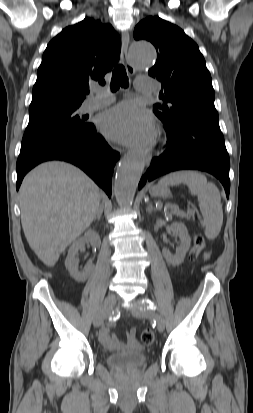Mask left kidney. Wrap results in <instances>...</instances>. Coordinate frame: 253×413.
Listing matches in <instances>:
<instances>
[{
	"mask_svg": "<svg viewBox=\"0 0 253 413\" xmlns=\"http://www.w3.org/2000/svg\"><path fill=\"white\" fill-rule=\"evenodd\" d=\"M165 224V221L159 219L155 224V229L157 230ZM170 229L172 230L174 235L180 238V246L177 248L176 254L174 255L171 254L170 251L167 249H163L162 253L168 263H170L173 266H177L183 262L186 253L190 247L191 239L188 235V230L186 226L182 223H172Z\"/></svg>",
	"mask_w": 253,
	"mask_h": 413,
	"instance_id": "1",
	"label": "left kidney"
}]
</instances>
